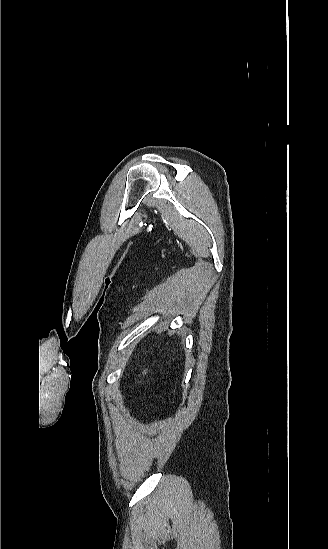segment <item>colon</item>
Returning <instances> with one entry per match:
<instances>
[{
	"mask_svg": "<svg viewBox=\"0 0 328 549\" xmlns=\"http://www.w3.org/2000/svg\"><path fill=\"white\" fill-rule=\"evenodd\" d=\"M152 371H153V366L152 365L147 366L142 372L141 378L147 377Z\"/></svg>",
	"mask_w": 328,
	"mask_h": 549,
	"instance_id": "obj_1",
	"label": "colon"
}]
</instances>
